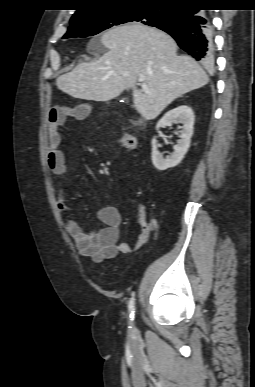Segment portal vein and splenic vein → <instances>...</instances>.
<instances>
[{
  "instance_id": "portal-vein-and-splenic-vein-1",
  "label": "portal vein and splenic vein",
  "mask_w": 255,
  "mask_h": 387,
  "mask_svg": "<svg viewBox=\"0 0 255 387\" xmlns=\"http://www.w3.org/2000/svg\"><path fill=\"white\" fill-rule=\"evenodd\" d=\"M139 82H141L142 89H143L145 92L149 93L148 86L144 83V78H143V77H140V78H139Z\"/></svg>"
}]
</instances>
